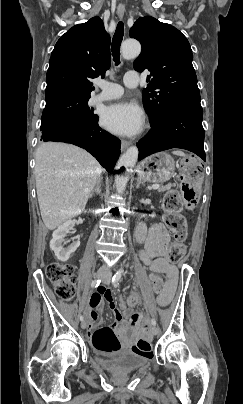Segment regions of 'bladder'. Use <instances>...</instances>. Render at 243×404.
<instances>
[{
  "instance_id": "1",
  "label": "bladder",
  "mask_w": 243,
  "mask_h": 404,
  "mask_svg": "<svg viewBox=\"0 0 243 404\" xmlns=\"http://www.w3.org/2000/svg\"><path fill=\"white\" fill-rule=\"evenodd\" d=\"M97 363L108 372L126 374L146 366L149 358L131 350H122L112 354H99Z\"/></svg>"
}]
</instances>
